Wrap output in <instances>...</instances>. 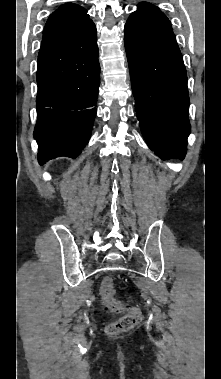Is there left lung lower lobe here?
I'll use <instances>...</instances> for the list:
<instances>
[{"instance_id": "1", "label": "left lung lower lobe", "mask_w": 221, "mask_h": 379, "mask_svg": "<svg viewBox=\"0 0 221 379\" xmlns=\"http://www.w3.org/2000/svg\"><path fill=\"white\" fill-rule=\"evenodd\" d=\"M124 44L147 144L162 159H184L191 129L187 74L170 21L158 7L140 3L125 24Z\"/></svg>"}]
</instances>
